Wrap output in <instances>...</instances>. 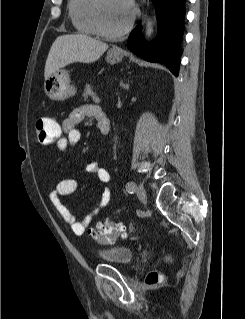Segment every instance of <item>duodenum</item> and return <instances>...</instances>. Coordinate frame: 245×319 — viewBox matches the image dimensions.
<instances>
[{
    "label": "duodenum",
    "instance_id": "duodenum-1",
    "mask_svg": "<svg viewBox=\"0 0 245 319\" xmlns=\"http://www.w3.org/2000/svg\"><path fill=\"white\" fill-rule=\"evenodd\" d=\"M97 121L100 132L104 135L108 134L111 129V123L108 116L105 113H101L99 114Z\"/></svg>",
    "mask_w": 245,
    "mask_h": 319
}]
</instances>
